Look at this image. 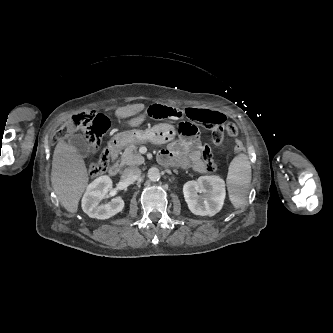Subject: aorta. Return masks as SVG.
<instances>
[{
  "label": "aorta",
  "instance_id": "aorta-1",
  "mask_svg": "<svg viewBox=\"0 0 333 333\" xmlns=\"http://www.w3.org/2000/svg\"><path fill=\"white\" fill-rule=\"evenodd\" d=\"M160 171L156 167H152L148 170V178L151 181H158L160 179Z\"/></svg>",
  "mask_w": 333,
  "mask_h": 333
}]
</instances>
